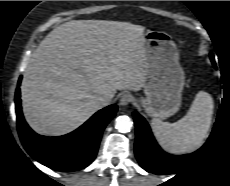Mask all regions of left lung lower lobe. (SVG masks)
<instances>
[{
    "label": "left lung lower lobe",
    "mask_w": 230,
    "mask_h": 186,
    "mask_svg": "<svg viewBox=\"0 0 230 186\" xmlns=\"http://www.w3.org/2000/svg\"><path fill=\"white\" fill-rule=\"evenodd\" d=\"M136 126L135 155L143 169L150 173L172 174L183 166L191 164L203 151L206 144L198 151L188 155H170L165 153L155 141L146 120L133 112Z\"/></svg>",
    "instance_id": "0a47b994"
}]
</instances>
